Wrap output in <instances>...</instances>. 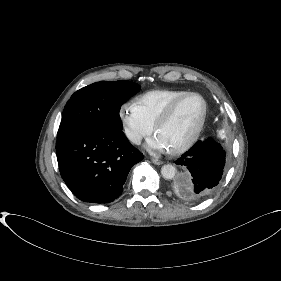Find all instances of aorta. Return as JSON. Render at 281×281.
I'll list each match as a JSON object with an SVG mask.
<instances>
[{"instance_id": "762f6f07", "label": "aorta", "mask_w": 281, "mask_h": 281, "mask_svg": "<svg viewBox=\"0 0 281 281\" xmlns=\"http://www.w3.org/2000/svg\"><path fill=\"white\" fill-rule=\"evenodd\" d=\"M161 174L165 179H173L176 174V168L171 164H166L162 166Z\"/></svg>"}]
</instances>
